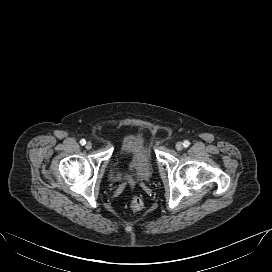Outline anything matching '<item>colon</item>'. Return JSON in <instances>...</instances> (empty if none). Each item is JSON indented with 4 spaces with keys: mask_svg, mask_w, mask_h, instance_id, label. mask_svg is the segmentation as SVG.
<instances>
[{
    "mask_svg": "<svg viewBox=\"0 0 272 272\" xmlns=\"http://www.w3.org/2000/svg\"><path fill=\"white\" fill-rule=\"evenodd\" d=\"M144 207L143 200L140 197L134 196L130 200V208L133 211H140Z\"/></svg>",
    "mask_w": 272,
    "mask_h": 272,
    "instance_id": "1",
    "label": "colon"
}]
</instances>
